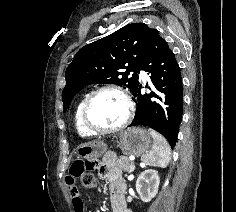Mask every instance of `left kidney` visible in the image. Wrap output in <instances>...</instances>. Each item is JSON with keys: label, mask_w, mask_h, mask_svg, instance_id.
I'll list each match as a JSON object with an SVG mask.
<instances>
[{"label": "left kidney", "mask_w": 236, "mask_h": 212, "mask_svg": "<svg viewBox=\"0 0 236 212\" xmlns=\"http://www.w3.org/2000/svg\"><path fill=\"white\" fill-rule=\"evenodd\" d=\"M160 178L158 171L148 169L143 171L136 181V191L143 202H149L158 193Z\"/></svg>", "instance_id": "obj_1"}]
</instances>
